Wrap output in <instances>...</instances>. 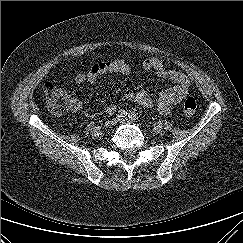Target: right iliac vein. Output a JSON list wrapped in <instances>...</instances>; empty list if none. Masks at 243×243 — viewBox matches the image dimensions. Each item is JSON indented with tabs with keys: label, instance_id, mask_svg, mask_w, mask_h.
<instances>
[{
	"label": "right iliac vein",
	"instance_id": "obj_1",
	"mask_svg": "<svg viewBox=\"0 0 243 243\" xmlns=\"http://www.w3.org/2000/svg\"><path fill=\"white\" fill-rule=\"evenodd\" d=\"M115 123H116L115 119L108 120L105 123V128L109 130L114 126Z\"/></svg>",
	"mask_w": 243,
	"mask_h": 243
}]
</instances>
